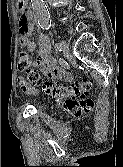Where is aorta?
I'll return each instance as SVG.
<instances>
[{"instance_id":"762f6f07","label":"aorta","mask_w":123,"mask_h":167,"mask_svg":"<svg viewBox=\"0 0 123 167\" xmlns=\"http://www.w3.org/2000/svg\"><path fill=\"white\" fill-rule=\"evenodd\" d=\"M32 9L38 19V24L42 29H49L50 17L47 12L44 0H31Z\"/></svg>"}]
</instances>
